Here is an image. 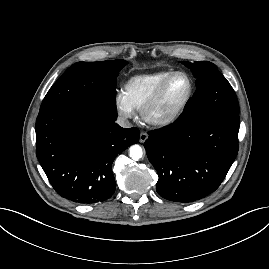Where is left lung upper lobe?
Wrapping results in <instances>:
<instances>
[{
  "instance_id": "left-lung-upper-lobe-1",
  "label": "left lung upper lobe",
  "mask_w": 269,
  "mask_h": 269,
  "mask_svg": "<svg viewBox=\"0 0 269 269\" xmlns=\"http://www.w3.org/2000/svg\"><path fill=\"white\" fill-rule=\"evenodd\" d=\"M182 63L192 70L197 79V90L188 100L179 119L187 121L219 111L239 113L236 94L216 65L208 61Z\"/></svg>"
}]
</instances>
